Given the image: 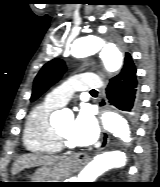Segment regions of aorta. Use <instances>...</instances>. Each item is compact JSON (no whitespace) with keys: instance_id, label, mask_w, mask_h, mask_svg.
I'll use <instances>...</instances> for the list:
<instances>
[{"instance_id":"762f6f07","label":"aorta","mask_w":160,"mask_h":187,"mask_svg":"<svg viewBox=\"0 0 160 187\" xmlns=\"http://www.w3.org/2000/svg\"><path fill=\"white\" fill-rule=\"evenodd\" d=\"M71 52L75 57H87L99 54L105 69L109 72L118 71L122 66L123 56L116 45L107 42L98 35L78 38L72 44ZM67 115L66 111L55 112L57 118ZM104 129L123 143L129 144L132 132L125 118L115 112H106L102 116ZM126 163L124 149H113L97 155L78 175L77 182H94L104 172L123 167Z\"/></svg>"}]
</instances>
